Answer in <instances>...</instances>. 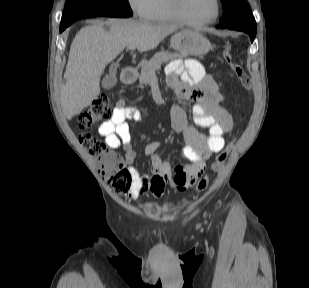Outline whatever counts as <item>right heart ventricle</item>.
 <instances>
[{"label":"right heart ventricle","instance_id":"right-heart-ventricle-1","mask_svg":"<svg viewBox=\"0 0 309 288\" xmlns=\"http://www.w3.org/2000/svg\"><path fill=\"white\" fill-rule=\"evenodd\" d=\"M147 19L155 22L178 23L172 12L170 0H153Z\"/></svg>","mask_w":309,"mask_h":288}]
</instances>
